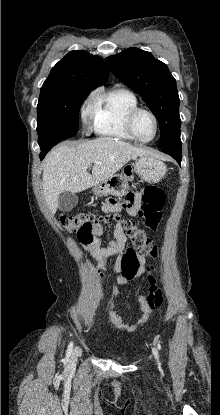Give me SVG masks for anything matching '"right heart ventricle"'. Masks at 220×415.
Instances as JSON below:
<instances>
[{
  "label": "right heart ventricle",
  "instance_id": "obj_1",
  "mask_svg": "<svg viewBox=\"0 0 220 415\" xmlns=\"http://www.w3.org/2000/svg\"><path fill=\"white\" fill-rule=\"evenodd\" d=\"M138 107V99L126 89H112L93 99V129L101 136L134 140L126 127L128 113Z\"/></svg>",
  "mask_w": 220,
  "mask_h": 415
}]
</instances>
